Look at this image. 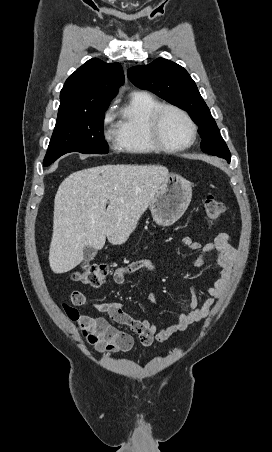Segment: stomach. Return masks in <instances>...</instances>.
Returning a JSON list of instances; mask_svg holds the SVG:
<instances>
[{
	"instance_id": "obj_1",
	"label": "stomach",
	"mask_w": 272,
	"mask_h": 452,
	"mask_svg": "<svg viewBox=\"0 0 272 452\" xmlns=\"http://www.w3.org/2000/svg\"><path fill=\"white\" fill-rule=\"evenodd\" d=\"M191 198V184L179 174L168 173L149 205L153 220L160 226L174 224L186 211Z\"/></svg>"
}]
</instances>
